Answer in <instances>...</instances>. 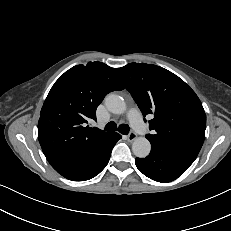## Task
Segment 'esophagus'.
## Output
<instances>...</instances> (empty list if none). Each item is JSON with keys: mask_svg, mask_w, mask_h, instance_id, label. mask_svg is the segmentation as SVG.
Returning <instances> with one entry per match:
<instances>
[{"mask_svg": "<svg viewBox=\"0 0 231 231\" xmlns=\"http://www.w3.org/2000/svg\"><path fill=\"white\" fill-rule=\"evenodd\" d=\"M136 138H137V135H136V133L133 132V131L130 132V133L128 134V136H127V140L130 141V142L134 141Z\"/></svg>", "mask_w": 231, "mask_h": 231, "instance_id": "obj_1", "label": "esophagus"}]
</instances>
